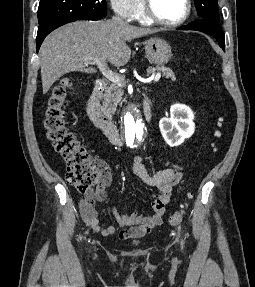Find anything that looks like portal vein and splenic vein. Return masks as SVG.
Segmentation results:
<instances>
[{"mask_svg": "<svg viewBox=\"0 0 255 287\" xmlns=\"http://www.w3.org/2000/svg\"><path fill=\"white\" fill-rule=\"evenodd\" d=\"M83 62H85V64H96L103 76H105L107 80H110V82H114V84L124 82L123 76H117V74H113L111 70H108L105 58H84ZM160 78L161 74L158 72V74H153V76L147 78V80L140 78L139 82H142V84H147V82H159Z\"/></svg>", "mask_w": 255, "mask_h": 287, "instance_id": "18ae733b", "label": "portal vein and splenic vein"}]
</instances>
